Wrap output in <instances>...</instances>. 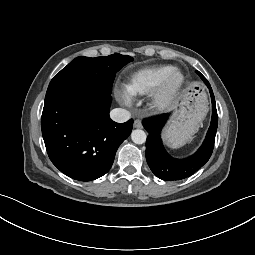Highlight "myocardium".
Returning <instances> with one entry per match:
<instances>
[{"label": "myocardium", "mask_w": 255, "mask_h": 255, "mask_svg": "<svg viewBox=\"0 0 255 255\" xmlns=\"http://www.w3.org/2000/svg\"><path fill=\"white\" fill-rule=\"evenodd\" d=\"M184 83V74L175 69L154 91L152 96L153 107L160 111L168 109L174 103Z\"/></svg>", "instance_id": "myocardium-1"}]
</instances>
